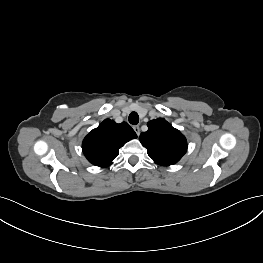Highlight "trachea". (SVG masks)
Listing matches in <instances>:
<instances>
[{"instance_id":"1","label":"trachea","mask_w":263,"mask_h":263,"mask_svg":"<svg viewBox=\"0 0 263 263\" xmlns=\"http://www.w3.org/2000/svg\"><path fill=\"white\" fill-rule=\"evenodd\" d=\"M128 120L132 125H136L139 122V116L136 112H131Z\"/></svg>"}]
</instances>
